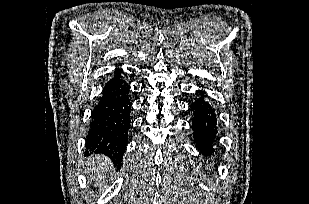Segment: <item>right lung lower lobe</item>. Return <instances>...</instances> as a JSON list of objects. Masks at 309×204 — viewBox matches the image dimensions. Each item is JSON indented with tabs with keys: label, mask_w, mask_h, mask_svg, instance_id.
<instances>
[{
	"label": "right lung lower lobe",
	"mask_w": 309,
	"mask_h": 204,
	"mask_svg": "<svg viewBox=\"0 0 309 204\" xmlns=\"http://www.w3.org/2000/svg\"><path fill=\"white\" fill-rule=\"evenodd\" d=\"M122 74V69H116L103 88L92 111L85 151V155L104 154L119 168L128 142L132 106L130 86Z\"/></svg>",
	"instance_id": "98d812e1"
}]
</instances>
